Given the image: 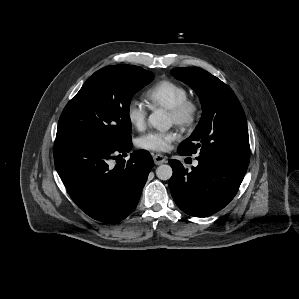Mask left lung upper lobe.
I'll list each match as a JSON object with an SVG mask.
<instances>
[{"instance_id": "1", "label": "left lung upper lobe", "mask_w": 299, "mask_h": 299, "mask_svg": "<svg viewBox=\"0 0 299 299\" xmlns=\"http://www.w3.org/2000/svg\"><path fill=\"white\" fill-rule=\"evenodd\" d=\"M172 75L199 96L202 118L178 147L183 155L199 152L197 160L248 167L250 146L245 113L229 86L195 67L174 68Z\"/></svg>"}]
</instances>
